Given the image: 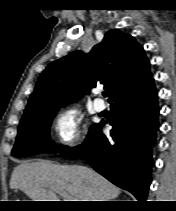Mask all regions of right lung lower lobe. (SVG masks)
<instances>
[{
  "label": "right lung lower lobe",
  "mask_w": 176,
  "mask_h": 211,
  "mask_svg": "<svg viewBox=\"0 0 176 211\" xmlns=\"http://www.w3.org/2000/svg\"><path fill=\"white\" fill-rule=\"evenodd\" d=\"M110 137L94 125L79 146L61 156L84 159L113 184L131 192L139 202L146 199L151 183L152 147L158 129L157 91L154 81L138 94L111 105Z\"/></svg>",
  "instance_id": "1"
}]
</instances>
